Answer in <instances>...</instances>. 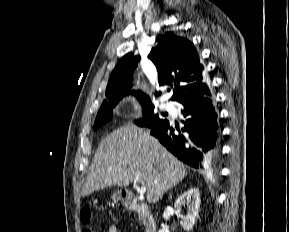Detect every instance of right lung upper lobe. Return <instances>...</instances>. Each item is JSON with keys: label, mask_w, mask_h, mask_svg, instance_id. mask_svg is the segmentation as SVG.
<instances>
[{"label": "right lung upper lobe", "mask_w": 289, "mask_h": 232, "mask_svg": "<svg viewBox=\"0 0 289 232\" xmlns=\"http://www.w3.org/2000/svg\"><path fill=\"white\" fill-rule=\"evenodd\" d=\"M157 41L158 45L151 50L148 58L157 67L160 85L174 83L175 89L171 100L182 102L212 94L209 81L203 72L204 66L199 62L198 53L192 42L173 32L158 36ZM139 59L140 56L128 53L118 62L106 88L108 99L131 93V77ZM132 93L139 100L151 102L149 96L142 92ZM160 94L161 92H156V95Z\"/></svg>", "instance_id": "obj_1"}]
</instances>
